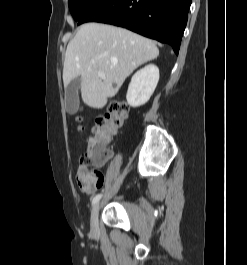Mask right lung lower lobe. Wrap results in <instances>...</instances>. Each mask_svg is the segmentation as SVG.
<instances>
[{"label":"right lung lower lobe","mask_w":247,"mask_h":265,"mask_svg":"<svg viewBox=\"0 0 247 265\" xmlns=\"http://www.w3.org/2000/svg\"><path fill=\"white\" fill-rule=\"evenodd\" d=\"M192 0H98L78 21L121 26L172 46L178 54Z\"/></svg>","instance_id":"obj_1"}]
</instances>
